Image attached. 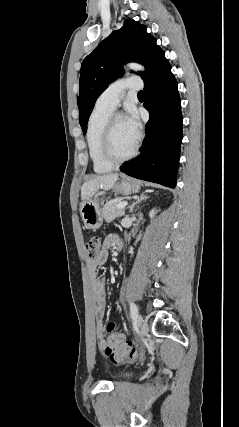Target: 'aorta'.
I'll return each instance as SVG.
<instances>
[{"label": "aorta", "mask_w": 239, "mask_h": 427, "mask_svg": "<svg viewBox=\"0 0 239 427\" xmlns=\"http://www.w3.org/2000/svg\"><path fill=\"white\" fill-rule=\"evenodd\" d=\"M127 67H129L130 69L135 70V71H142V70H144V67L141 66V65H139V64H137V63H130V64L127 65Z\"/></svg>", "instance_id": "obj_1"}]
</instances>
